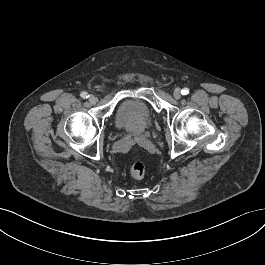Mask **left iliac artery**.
I'll return each instance as SVG.
<instances>
[{
    "mask_svg": "<svg viewBox=\"0 0 265 265\" xmlns=\"http://www.w3.org/2000/svg\"><path fill=\"white\" fill-rule=\"evenodd\" d=\"M189 93V89L188 88H184L181 90V94L182 95H187Z\"/></svg>",
    "mask_w": 265,
    "mask_h": 265,
    "instance_id": "1",
    "label": "left iliac artery"
}]
</instances>
